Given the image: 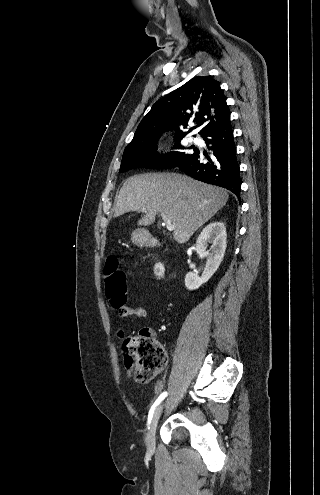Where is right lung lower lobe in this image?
Here are the masks:
<instances>
[{
	"mask_svg": "<svg viewBox=\"0 0 320 495\" xmlns=\"http://www.w3.org/2000/svg\"><path fill=\"white\" fill-rule=\"evenodd\" d=\"M202 137L212 151L211 155L194 149V153L176 167L194 179L226 188L240 199L239 164L230 118ZM204 155L207 163L202 162Z\"/></svg>",
	"mask_w": 320,
	"mask_h": 495,
	"instance_id": "right-lung-lower-lobe-1",
	"label": "right lung lower lobe"
}]
</instances>
